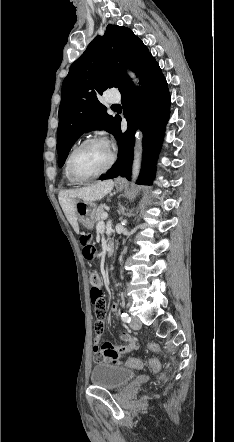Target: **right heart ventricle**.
Segmentation results:
<instances>
[{
	"label": "right heart ventricle",
	"instance_id": "obj_1",
	"mask_svg": "<svg viewBox=\"0 0 234 442\" xmlns=\"http://www.w3.org/2000/svg\"><path fill=\"white\" fill-rule=\"evenodd\" d=\"M64 175H65L67 181L69 182V184H71V185L77 184V182L72 180L71 177L69 176L66 165H65V168H64Z\"/></svg>",
	"mask_w": 234,
	"mask_h": 442
}]
</instances>
